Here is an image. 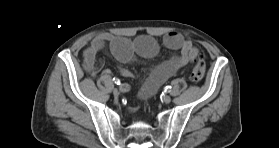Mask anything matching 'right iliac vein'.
Here are the masks:
<instances>
[{"label":"right iliac vein","instance_id":"right-iliac-vein-1","mask_svg":"<svg viewBox=\"0 0 279 148\" xmlns=\"http://www.w3.org/2000/svg\"><path fill=\"white\" fill-rule=\"evenodd\" d=\"M122 87H124V85H122ZM113 95H114L115 97H118V96H119V90L116 89V88H114V89H113Z\"/></svg>","mask_w":279,"mask_h":148}]
</instances>
